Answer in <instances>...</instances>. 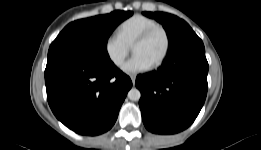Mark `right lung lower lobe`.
<instances>
[{"instance_id":"98d812e1","label":"right lung lower lobe","mask_w":261,"mask_h":150,"mask_svg":"<svg viewBox=\"0 0 261 150\" xmlns=\"http://www.w3.org/2000/svg\"><path fill=\"white\" fill-rule=\"evenodd\" d=\"M47 99L54 115L81 135H99L115 123L132 87L111 60L57 58L45 69Z\"/></svg>"}]
</instances>
